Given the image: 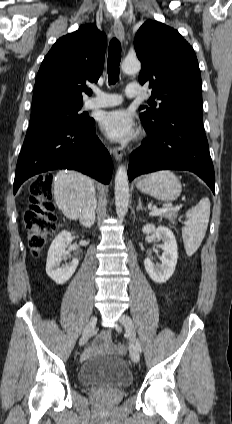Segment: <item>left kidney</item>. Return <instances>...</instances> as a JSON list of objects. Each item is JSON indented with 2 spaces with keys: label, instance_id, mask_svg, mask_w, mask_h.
<instances>
[{
  "label": "left kidney",
  "instance_id": "5707ae66",
  "mask_svg": "<svg viewBox=\"0 0 232 424\" xmlns=\"http://www.w3.org/2000/svg\"><path fill=\"white\" fill-rule=\"evenodd\" d=\"M143 233H153L158 240L164 242L162 246L161 264L154 265L150 258L144 260L146 272L155 283H165L173 275L178 259L177 242L173 232L165 226L155 227L153 224H146L142 228Z\"/></svg>",
  "mask_w": 232,
  "mask_h": 424
}]
</instances>
